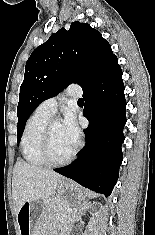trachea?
Instances as JSON below:
<instances>
[{
  "label": "trachea",
  "mask_w": 155,
  "mask_h": 235,
  "mask_svg": "<svg viewBox=\"0 0 155 235\" xmlns=\"http://www.w3.org/2000/svg\"><path fill=\"white\" fill-rule=\"evenodd\" d=\"M78 103H83V99L80 98V99L78 100Z\"/></svg>",
  "instance_id": "3493384b"
}]
</instances>
